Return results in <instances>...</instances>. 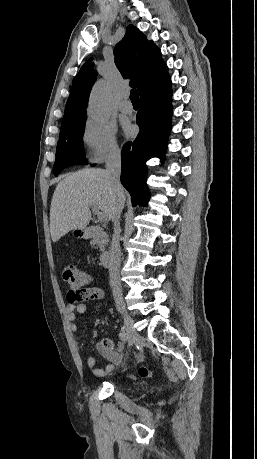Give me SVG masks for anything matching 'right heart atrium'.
<instances>
[{
    "mask_svg": "<svg viewBox=\"0 0 257 459\" xmlns=\"http://www.w3.org/2000/svg\"><path fill=\"white\" fill-rule=\"evenodd\" d=\"M82 140L90 162L99 163L119 156L117 130L108 122L88 120L83 131Z\"/></svg>",
    "mask_w": 257,
    "mask_h": 459,
    "instance_id": "obj_1",
    "label": "right heart atrium"
}]
</instances>
